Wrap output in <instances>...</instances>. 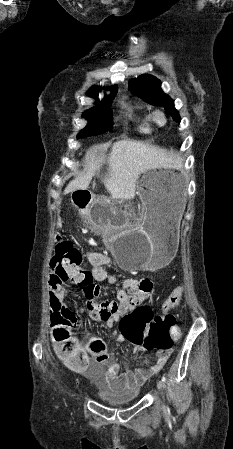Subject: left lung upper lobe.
Segmentation results:
<instances>
[{
    "mask_svg": "<svg viewBox=\"0 0 233 449\" xmlns=\"http://www.w3.org/2000/svg\"><path fill=\"white\" fill-rule=\"evenodd\" d=\"M133 95L140 97L145 102L154 106H163L177 122L181 121L178 111L174 107L173 100L161 89V82L149 74H143L134 78L129 83Z\"/></svg>",
    "mask_w": 233,
    "mask_h": 449,
    "instance_id": "1",
    "label": "left lung upper lobe"
}]
</instances>
